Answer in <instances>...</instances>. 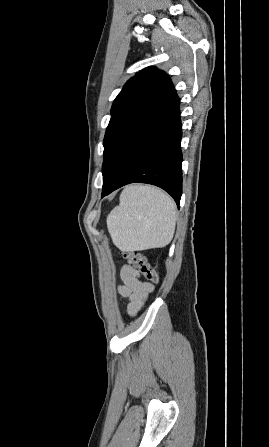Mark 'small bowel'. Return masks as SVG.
I'll use <instances>...</instances> for the list:
<instances>
[{
  "instance_id": "obj_1",
  "label": "small bowel",
  "mask_w": 269,
  "mask_h": 447,
  "mask_svg": "<svg viewBox=\"0 0 269 447\" xmlns=\"http://www.w3.org/2000/svg\"><path fill=\"white\" fill-rule=\"evenodd\" d=\"M122 284L119 293L128 299V313L135 315L144 305L148 295L153 292L154 286L141 279L139 272L131 265H124L120 271Z\"/></svg>"
}]
</instances>
